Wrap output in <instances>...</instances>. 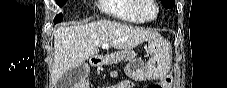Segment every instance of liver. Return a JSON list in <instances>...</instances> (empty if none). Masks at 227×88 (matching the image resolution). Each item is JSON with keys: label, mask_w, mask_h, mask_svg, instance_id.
Segmentation results:
<instances>
[{"label": "liver", "mask_w": 227, "mask_h": 88, "mask_svg": "<svg viewBox=\"0 0 227 88\" xmlns=\"http://www.w3.org/2000/svg\"><path fill=\"white\" fill-rule=\"evenodd\" d=\"M53 35L54 63L50 76L51 85H55L64 73L96 55L98 48L104 43L115 49L130 50L157 37L158 33L115 21L100 20L79 26L61 24L54 30Z\"/></svg>", "instance_id": "liver-1"}]
</instances>
